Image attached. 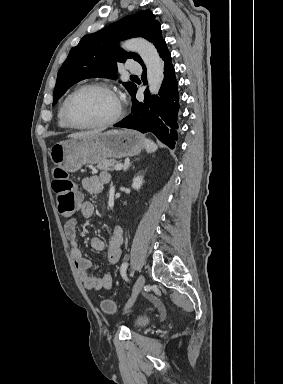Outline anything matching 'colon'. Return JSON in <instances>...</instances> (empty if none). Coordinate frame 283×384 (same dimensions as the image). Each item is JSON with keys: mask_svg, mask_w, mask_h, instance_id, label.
I'll use <instances>...</instances> for the list:
<instances>
[{"mask_svg": "<svg viewBox=\"0 0 283 384\" xmlns=\"http://www.w3.org/2000/svg\"><path fill=\"white\" fill-rule=\"evenodd\" d=\"M52 187L57 197L59 213L64 217L72 216L79 207V197L75 186L69 176L61 169H56L53 176ZM103 312L114 313L115 304L111 300L101 303Z\"/></svg>", "mask_w": 283, "mask_h": 384, "instance_id": "1", "label": "colon"}]
</instances>
